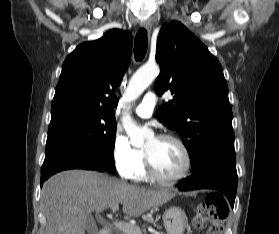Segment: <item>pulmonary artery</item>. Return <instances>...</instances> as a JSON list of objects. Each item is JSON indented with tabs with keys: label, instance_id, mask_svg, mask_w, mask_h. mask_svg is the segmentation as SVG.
<instances>
[{
	"label": "pulmonary artery",
	"instance_id": "e3ab8cb5",
	"mask_svg": "<svg viewBox=\"0 0 279 234\" xmlns=\"http://www.w3.org/2000/svg\"><path fill=\"white\" fill-rule=\"evenodd\" d=\"M157 97L154 93H147L142 101L134 107L135 113L142 118H149L153 114Z\"/></svg>",
	"mask_w": 279,
	"mask_h": 234
}]
</instances>
